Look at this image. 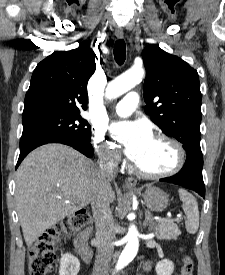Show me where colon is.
Masks as SVG:
<instances>
[{
  "label": "colon",
  "mask_w": 225,
  "mask_h": 275,
  "mask_svg": "<svg viewBox=\"0 0 225 275\" xmlns=\"http://www.w3.org/2000/svg\"><path fill=\"white\" fill-rule=\"evenodd\" d=\"M91 221L88 210H80L44 231L29 252L30 275H47L55 261V247L59 238L68 237ZM193 264L188 256L182 258L181 275H192Z\"/></svg>",
  "instance_id": "1"
}]
</instances>
